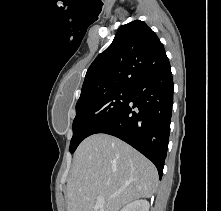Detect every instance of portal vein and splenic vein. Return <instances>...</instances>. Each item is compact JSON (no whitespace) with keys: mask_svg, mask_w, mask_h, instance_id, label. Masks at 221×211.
<instances>
[{"mask_svg":"<svg viewBox=\"0 0 221 211\" xmlns=\"http://www.w3.org/2000/svg\"><path fill=\"white\" fill-rule=\"evenodd\" d=\"M104 203H105L104 197L98 196L97 199H96V204H97V206H101V205H103Z\"/></svg>","mask_w":221,"mask_h":211,"instance_id":"18ae733b","label":"portal vein and splenic vein"}]
</instances>
